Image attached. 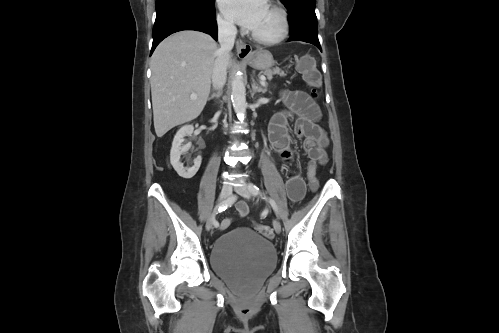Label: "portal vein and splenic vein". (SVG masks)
Instances as JSON below:
<instances>
[{"instance_id": "18ae733b", "label": "portal vein and splenic vein", "mask_w": 499, "mask_h": 333, "mask_svg": "<svg viewBox=\"0 0 499 333\" xmlns=\"http://www.w3.org/2000/svg\"><path fill=\"white\" fill-rule=\"evenodd\" d=\"M260 80H261V82H262V83H264L266 79H265V77H264V76H261V77H260ZM190 97H191V99H196V98H197V95L193 93V94H191V96H190Z\"/></svg>"}]
</instances>
